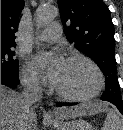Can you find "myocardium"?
<instances>
[{
	"instance_id": "f54148a6",
	"label": "myocardium",
	"mask_w": 123,
	"mask_h": 130,
	"mask_svg": "<svg viewBox=\"0 0 123 130\" xmlns=\"http://www.w3.org/2000/svg\"><path fill=\"white\" fill-rule=\"evenodd\" d=\"M66 61H82L88 64L95 72L96 77H97V84L95 89L86 95H81V96H76V95H70L67 94L60 89H58L55 85H53V90L56 93L58 97H60L63 100L70 101V102H84V101H89L95 97H97L100 92L102 91L105 80H104V75L99 68V66L89 57L83 55V54H71L66 58Z\"/></svg>"
}]
</instances>
